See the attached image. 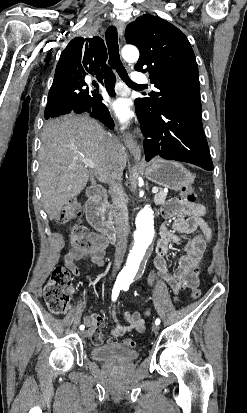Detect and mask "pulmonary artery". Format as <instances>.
<instances>
[{
	"mask_svg": "<svg viewBox=\"0 0 247 413\" xmlns=\"http://www.w3.org/2000/svg\"><path fill=\"white\" fill-rule=\"evenodd\" d=\"M132 75H134V76H133V81L136 82V85H137V86H143V85H144V81H145V82H149V78H148L147 76H145V75H142L140 69H134V70H132ZM85 81H86V83L89 84V83L91 82L90 77L87 76V77L85 78ZM150 85H151L152 88H155V85H154V84H150Z\"/></svg>",
	"mask_w": 247,
	"mask_h": 413,
	"instance_id": "pulmonary-artery-1",
	"label": "pulmonary artery"
}]
</instances>
